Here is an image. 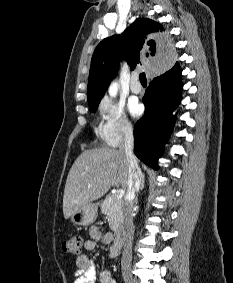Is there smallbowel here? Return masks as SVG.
<instances>
[{"label": "small bowel", "instance_id": "obj_1", "mask_svg": "<svg viewBox=\"0 0 233 283\" xmlns=\"http://www.w3.org/2000/svg\"><path fill=\"white\" fill-rule=\"evenodd\" d=\"M90 239L86 240L84 247L87 251H93L97 248L99 243L109 244L112 241L110 234H103L98 228L92 227L90 229ZM119 251L116 250L114 244L111 245L108 253L110 259L116 258ZM77 270L75 272L74 283H96V268L93 260L87 255H81L76 261ZM99 283H116L107 269L103 270L99 276Z\"/></svg>", "mask_w": 233, "mask_h": 283}]
</instances>
